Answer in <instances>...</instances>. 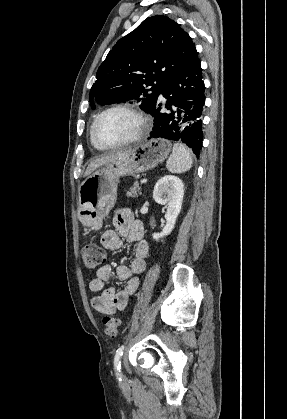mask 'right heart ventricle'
I'll list each match as a JSON object with an SVG mask.
<instances>
[{
    "instance_id": "right-heart-ventricle-1",
    "label": "right heart ventricle",
    "mask_w": 287,
    "mask_h": 419,
    "mask_svg": "<svg viewBox=\"0 0 287 419\" xmlns=\"http://www.w3.org/2000/svg\"><path fill=\"white\" fill-rule=\"evenodd\" d=\"M90 142H91V144L96 148V149H98V150H105L104 148H102V147H100V146H98L94 141H93V139H92V137H91V133H90Z\"/></svg>"
}]
</instances>
